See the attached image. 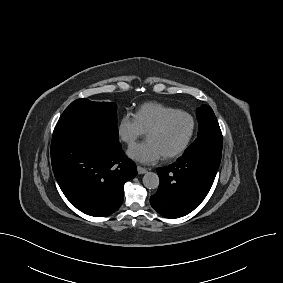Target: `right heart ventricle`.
I'll list each match as a JSON object with an SVG mask.
<instances>
[{"instance_id":"1","label":"right heart ventricle","mask_w":283,"mask_h":283,"mask_svg":"<svg viewBox=\"0 0 283 283\" xmlns=\"http://www.w3.org/2000/svg\"><path fill=\"white\" fill-rule=\"evenodd\" d=\"M175 111H177V109L173 107L157 102H149L141 105L135 115L146 133L164 116Z\"/></svg>"}]
</instances>
